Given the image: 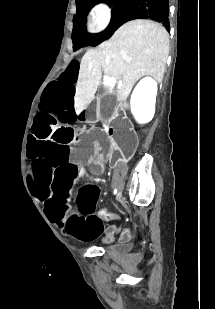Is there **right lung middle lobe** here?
<instances>
[{
	"label": "right lung middle lobe",
	"mask_w": 215,
	"mask_h": 309,
	"mask_svg": "<svg viewBox=\"0 0 215 309\" xmlns=\"http://www.w3.org/2000/svg\"><path fill=\"white\" fill-rule=\"evenodd\" d=\"M133 0H76L77 13L74 19L72 33L73 50L76 51L85 46H96L108 39L117 29L118 20ZM99 2H106L112 7V18L106 30L98 34H88L85 28V21L90 9Z\"/></svg>",
	"instance_id": "1"
}]
</instances>
